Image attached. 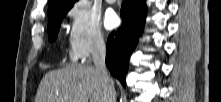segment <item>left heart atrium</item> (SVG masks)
<instances>
[{
	"instance_id": "left-heart-atrium-1",
	"label": "left heart atrium",
	"mask_w": 221,
	"mask_h": 102,
	"mask_svg": "<svg viewBox=\"0 0 221 102\" xmlns=\"http://www.w3.org/2000/svg\"><path fill=\"white\" fill-rule=\"evenodd\" d=\"M119 23V18L113 10L106 12L104 17V24L107 29H112L116 27Z\"/></svg>"
}]
</instances>
